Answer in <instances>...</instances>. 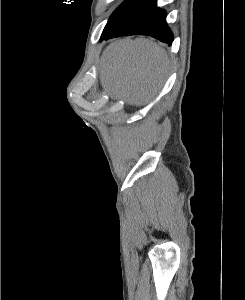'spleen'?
<instances>
[{
    "label": "spleen",
    "mask_w": 245,
    "mask_h": 300,
    "mask_svg": "<svg viewBox=\"0 0 245 300\" xmlns=\"http://www.w3.org/2000/svg\"><path fill=\"white\" fill-rule=\"evenodd\" d=\"M167 68V54L159 45L147 39H124L104 51L100 81L112 98L141 106L155 95Z\"/></svg>",
    "instance_id": "1"
}]
</instances>
